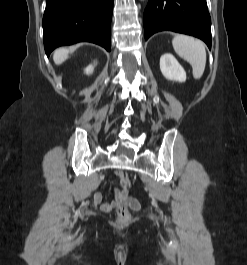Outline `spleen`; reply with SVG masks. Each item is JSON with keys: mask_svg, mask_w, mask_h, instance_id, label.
<instances>
[{"mask_svg": "<svg viewBox=\"0 0 247 265\" xmlns=\"http://www.w3.org/2000/svg\"><path fill=\"white\" fill-rule=\"evenodd\" d=\"M172 45L175 52L191 64L193 77L199 79L206 65L204 43L187 35H176L172 40Z\"/></svg>", "mask_w": 247, "mask_h": 265, "instance_id": "spleen-1", "label": "spleen"}]
</instances>
